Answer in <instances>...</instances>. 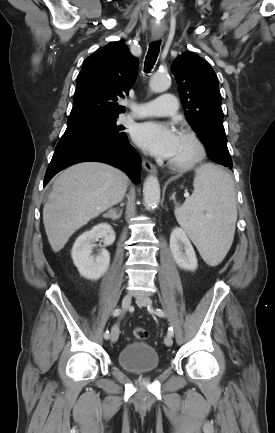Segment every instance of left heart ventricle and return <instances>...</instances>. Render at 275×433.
<instances>
[{"instance_id": "1", "label": "left heart ventricle", "mask_w": 275, "mask_h": 433, "mask_svg": "<svg viewBox=\"0 0 275 433\" xmlns=\"http://www.w3.org/2000/svg\"><path fill=\"white\" fill-rule=\"evenodd\" d=\"M195 152L196 149L194 143L188 137L179 134L174 153L170 157V160L184 163L192 159L195 155Z\"/></svg>"}]
</instances>
